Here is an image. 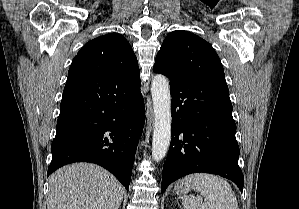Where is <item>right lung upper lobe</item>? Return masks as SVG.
Wrapping results in <instances>:
<instances>
[{"mask_svg":"<svg viewBox=\"0 0 299 209\" xmlns=\"http://www.w3.org/2000/svg\"><path fill=\"white\" fill-rule=\"evenodd\" d=\"M137 58L118 33L106 34L86 43L74 57L68 79L78 80L104 75H118L132 82L139 79Z\"/></svg>","mask_w":299,"mask_h":209,"instance_id":"1","label":"right lung upper lobe"}]
</instances>
